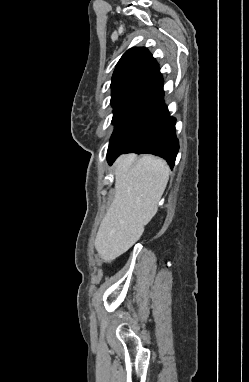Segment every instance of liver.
Here are the masks:
<instances>
[{"instance_id":"6515ba94","label":"liver","mask_w":249,"mask_h":382,"mask_svg":"<svg viewBox=\"0 0 249 382\" xmlns=\"http://www.w3.org/2000/svg\"><path fill=\"white\" fill-rule=\"evenodd\" d=\"M115 195L100 224L95 247L100 257L112 261L141 237L155 216L168 183L166 161L151 155L137 159L121 155L114 164Z\"/></svg>"}]
</instances>
